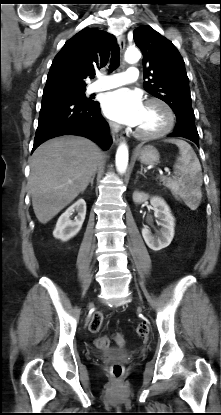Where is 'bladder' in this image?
Wrapping results in <instances>:
<instances>
[{
    "label": "bladder",
    "instance_id": "bladder-1",
    "mask_svg": "<svg viewBox=\"0 0 221 415\" xmlns=\"http://www.w3.org/2000/svg\"><path fill=\"white\" fill-rule=\"evenodd\" d=\"M110 353L114 356H119L120 357V356L125 355L126 352L124 350L115 349V350H112Z\"/></svg>",
    "mask_w": 221,
    "mask_h": 415
}]
</instances>
